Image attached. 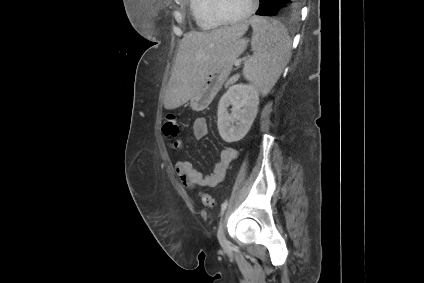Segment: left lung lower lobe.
<instances>
[{"instance_id":"obj_1","label":"left lung lower lobe","mask_w":424,"mask_h":283,"mask_svg":"<svg viewBox=\"0 0 424 283\" xmlns=\"http://www.w3.org/2000/svg\"><path fill=\"white\" fill-rule=\"evenodd\" d=\"M260 5L256 12L260 16H275L278 13L296 12L300 8L301 0H259Z\"/></svg>"}]
</instances>
